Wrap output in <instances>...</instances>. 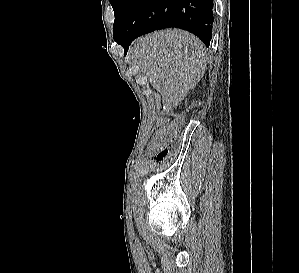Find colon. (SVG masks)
Masks as SVG:
<instances>
[{
    "label": "colon",
    "instance_id": "obj_1",
    "mask_svg": "<svg viewBox=\"0 0 299 273\" xmlns=\"http://www.w3.org/2000/svg\"><path fill=\"white\" fill-rule=\"evenodd\" d=\"M177 124L174 121L159 122L151 135L149 152L155 160H162L168 154L175 138Z\"/></svg>",
    "mask_w": 299,
    "mask_h": 273
}]
</instances>
